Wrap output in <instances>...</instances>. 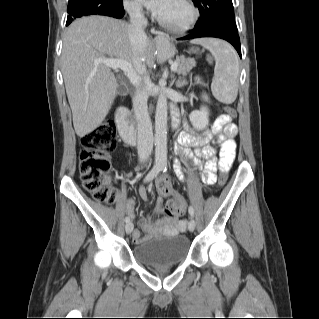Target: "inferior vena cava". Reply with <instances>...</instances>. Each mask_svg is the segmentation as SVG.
Returning <instances> with one entry per match:
<instances>
[{
    "label": "inferior vena cava",
    "mask_w": 319,
    "mask_h": 319,
    "mask_svg": "<svg viewBox=\"0 0 319 319\" xmlns=\"http://www.w3.org/2000/svg\"><path fill=\"white\" fill-rule=\"evenodd\" d=\"M130 16L128 27L129 40L134 52L133 65L136 72L147 79L146 66L141 62L147 45V37L144 28L147 21L142 12V6L134 3L127 7ZM148 95L145 90L137 89L133 96V108L137 121V149L140 162L147 161L153 149L152 123L147 106Z\"/></svg>",
    "instance_id": "inferior-vena-cava-1"
}]
</instances>
